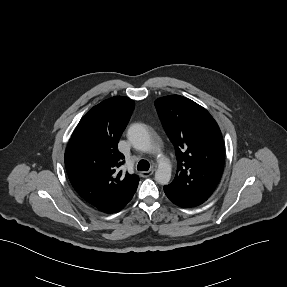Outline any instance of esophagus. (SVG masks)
<instances>
[{
	"label": "esophagus",
	"instance_id": "esophagus-1",
	"mask_svg": "<svg viewBox=\"0 0 287 287\" xmlns=\"http://www.w3.org/2000/svg\"><path fill=\"white\" fill-rule=\"evenodd\" d=\"M154 173V169H150L149 171H141L139 175L143 178L149 177Z\"/></svg>",
	"mask_w": 287,
	"mask_h": 287
}]
</instances>
